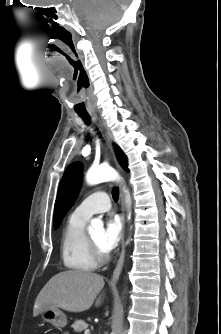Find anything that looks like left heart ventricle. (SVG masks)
<instances>
[{
    "label": "left heart ventricle",
    "mask_w": 221,
    "mask_h": 334,
    "mask_svg": "<svg viewBox=\"0 0 221 334\" xmlns=\"http://www.w3.org/2000/svg\"><path fill=\"white\" fill-rule=\"evenodd\" d=\"M91 238L93 241L102 249V237H103V232L102 231H96L92 233Z\"/></svg>",
    "instance_id": "left-heart-ventricle-1"
}]
</instances>
